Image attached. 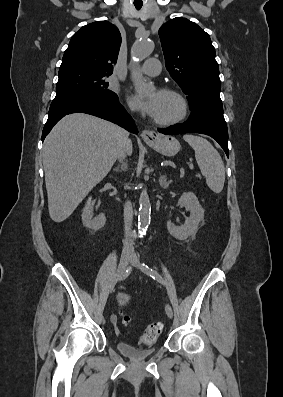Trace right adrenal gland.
<instances>
[{
	"label": "right adrenal gland",
	"mask_w": 283,
	"mask_h": 397,
	"mask_svg": "<svg viewBox=\"0 0 283 397\" xmlns=\"http://www.w3.org/2000/svg\"><path fill=\"white\" fill-rule=\"evenodd\" d=\"M114 170H115L116 172H120V171L124 170V168H121V170H120L119 168H114Z\"/></svg>",
	"instance_id": "obj_1"
}]
</instances>
